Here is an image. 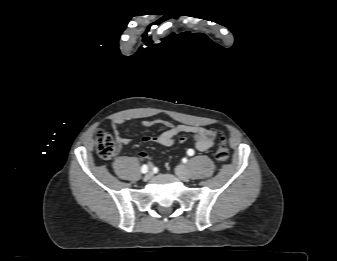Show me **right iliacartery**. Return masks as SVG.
Masks as SVG:
<instances>
[{
	"mask_svg": "<svg viewBox=\"0 0 337 261\" xmlns=\"http://www.w3.org/2000/svg\"><path fill=\"white\" fill-rule=\"evenodd\" d=\"M147 171H148V166L144 164V165L141 167V172H142V173H146Z\"/></svg>",
	"mask_w": 337,
	"mask_h": 261,
	"instance_id": "obj_1",
	"label": "right iliac artery"
}]
</instances>
